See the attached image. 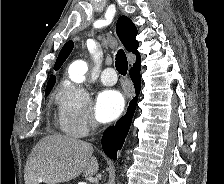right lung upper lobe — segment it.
Here are the masks:
<instances>
[{
  "instance_id": "cb5924a9",
  "label": "right lung upper lobe",
  "mask_w": 224,
  "mask_h": 184,
  "mask_svg": "<svg viewBox=\"0 0 224 184\" xmlns=\"http://www.w3.org/2000/svg\"><path fill=\"white\" fill-rule=\"evenodd\" d=\"M116 31L119 39L121 40L122 44L129 52H132L136 55V62L133 66L140 65L141 58L140 54L138 53V46L139 42L136 40L137 35V28L133 24V22L127 16L119 17L117 24H116ZM73 49V41H68L63 48L61 49L56 63L54 65V70H59L64 61L67 59L69 54ZM56 82V77L54 75L50 76V79L47 83L46 90L52 89Z\"/></svg>"
}]
</instances>
